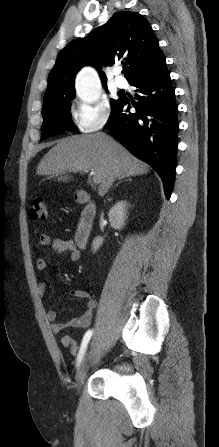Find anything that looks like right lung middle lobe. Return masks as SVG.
<instances>
[{
  "label": "right lung middle lobe",
  "instance_id": "obj_1",
  "mask_svg": "<svg viewBox=\"0 0 219 447\" xmlns=\"http://www.w3.org/2000/svg\"><path fill=\"white\" fill-rule=\"evenodd\" d=\"M74 95H59L44 99L42 116L43 124L41 127V139H46L57 132L74 130L69 118L70 101ZM118 100H111L112 107H114Z\"/></svg>",
  "mask_w": 219,
  "mask_h": 447
}]
</instances>
